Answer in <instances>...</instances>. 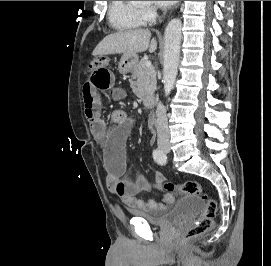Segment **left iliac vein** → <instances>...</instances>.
I'll list each match as a JSON object with an SVG mask.
<instances>
[{
	"label": "left iliac vein",
	"mask_w": 271,
	"mask_h": 266,
	"mask_svg": "<svg viewBox=\"0 0 271 266\" xmlns=\"http://www.w3.org/2000/svg\"><path fill=\"white\" fill-rule=\"evenodd\" d=\"M165 152H166V153H168V152H169V149H168V150H166Z\"/></svg>",
	"instance_id": "obj_1"
}]
</instances>
